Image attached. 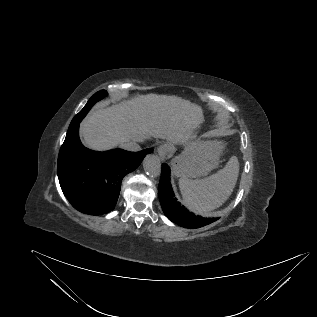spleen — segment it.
<instances>
[{"instance_id": "3e777b00", "label": "spleen", "mask_w": 317, "mask_h": 317, "mask_svg": "<svg viewBox=\"0 0 317 317\" xmlns=\"http://www.w3.org/2000/svg\"><path fill=\"white\" fill-rule=\"evenodd\" d=\"M239 174V162L232 156L217 173L200 180L179 179L186 205L194 212L206 214L220 207L232 194Z\"/></svg>"}]
</instances>
